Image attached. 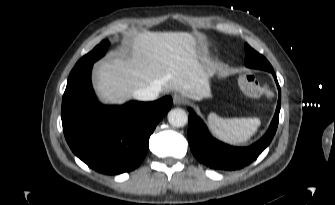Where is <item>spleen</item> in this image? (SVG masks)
Segmentation results:
<instances>
[{"label":"spleen","mask_w":335,"mask_h":205,"mask_svg":"<svg viewBox=\"0 0 335 205\" xmlns=\"http://www.w3.org/2000/svg\"><path fill=\"white\" fill-rule=\"evenodd\" d=\"M207 119L215 136L233 145L246 143L261 125L258 118L224 119L214 113L209 114Z\"/></svg>","instance_id":"obj_1"}]
</instances>
